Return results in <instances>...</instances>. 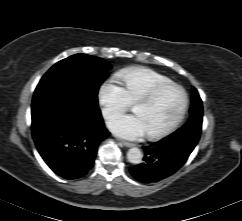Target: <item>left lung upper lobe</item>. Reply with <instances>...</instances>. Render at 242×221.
<instances>
[{
	"label": "left lung upper lobe",
	"instance_id": "left-lung-upper-lobe-1",
	"mask_svg": "<svg viewBox=\"0 0 242 221\" xmlns=\"http://www.w3.org/2000/svg\"><path fill=\"white\" fill-rule=\"evenodd\" d=\"M192 106L190 108V117L187 123L178 130V132L194 131L201 133L203 106L201 98L195 88H193Z\"/></svg>",
	"mask_w": 242,
	"mask_h": 221
}]
</instances>
